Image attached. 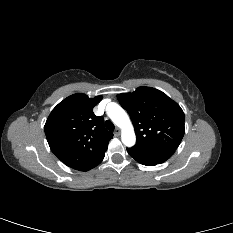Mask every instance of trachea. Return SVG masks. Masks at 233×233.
<instances>
[{
	"label": "trachea",
	"instance_id": "obj_1",
	"mask_svg": "<svg viewBox=\"0 0 233 233\" xmlns=\"http://www.w3.org/2000/svg\"><path fill=\"white\" fill-rule=\"evenodd\" d=\"M105 126H106V128H107L108 130H110V131H113V130L115 129L114 124H113L110 120H107V121L105 122Z\"/></svg>",
	"mask_w": 233,
	"mask_h": 233
}]
</instances>
